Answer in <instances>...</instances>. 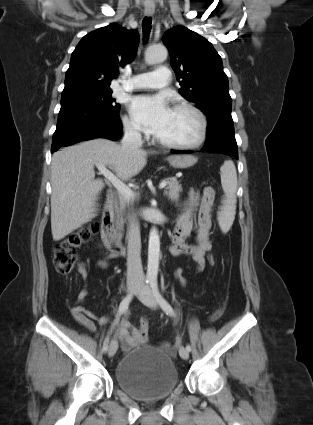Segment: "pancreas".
<instances>
[{
  "mask_svg": "<svg viewBox=\"0 0 313 425\" xmlns=\"http://www.w3.org/2000/svg\"><path fill=\"white\" fill-rule=\"evenodd\" d=\"M165 181L167 182V187L165 188L164 194L168 196V198L172 201H178L179 200V194L182 192V187L179 184V181L175 177L166 178ZM130 199L125 198L123 195H119L117 201L115 202V210L117 213V224L118 226L123 229L124 219H123V212L126 208V206L129 205Z\"/></svg>",
  "mask_w": 313,
  "mask_h": 425,
  "instance_id": "1",
  "label": "pancreas"
}]
</instances>
